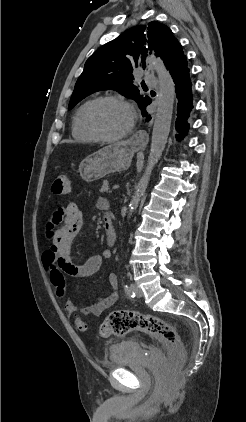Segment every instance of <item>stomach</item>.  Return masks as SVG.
<instances>
[{
	"instance_id": "stomach-1",
	"label": "stomach",
	"mask_w": 246,
	"mask_h": 422,
	"mask_svg": "<svg viewBox=\"0 0 246 422\" xmlns=\"http://www.w3.org/2000/svg\"><path fill=\"white\" fill-rule=\"evenodd\" d=\"M134 150L127 143H114L86 157L79 165L81 178L93 182L129 168Z\"/></svg>"
}]
</instances>
